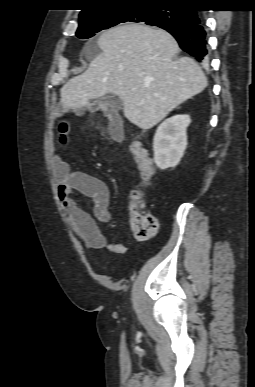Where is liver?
Masks as SVG:
<instances>
[{"label": "liver", "instance_id": "liver-1", "mask_svg": "<svg viewBox=\"0 0 255 387\" xmlns=\"http://www.w3.org/2000/svg\"><path fill=\"white\" fill-rule=\"evenodd\" d=\"M97 45L102 52L88 69L60 89L65 109L118 95L124 116L147 130L207 86L205 74L192 58L176 57L178 43L163 29L121 25L103 32Z\"/></svg>", "mask_w": 255, "mask_h": 387}]
</instances>
